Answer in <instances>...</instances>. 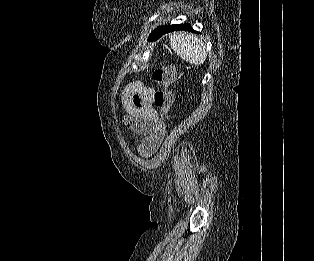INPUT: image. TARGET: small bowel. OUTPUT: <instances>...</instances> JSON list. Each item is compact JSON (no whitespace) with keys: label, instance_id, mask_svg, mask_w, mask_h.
Masks as SVG:
<instances>
[{"label":"small bowel","instance_id":"1","mask_svg":"<svg viewBox=\"0 0 314 261\" xmlns=\"http://www.w3.org/2000/svg\"><path fill=\"white\" fill-rule=\"evenodd\" d=\"M155 88L136 81L122 93V104L126 111V127L144 138L138 143L143 157L151 156L161 144L166 124L158 117L153 107Z\"/></svg>","mask_w":314,"mask_h":261}]
</instances>
